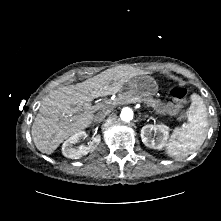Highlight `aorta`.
<instances>
[{
    "label": "aorta",
    "mask_w": 221,
    "mask_h": 221,
    "mask_svg": "<svg viewBox=\"0 0 221 221\" xmlns=\"http://www.w3.org/2000/svg\"><path fill=\"white\" fill-rule=\"evenodd\" d=\"M133 110L129 107H125L122 109L120 117L123 121L129 122L133 119Z\"/></svg>",
    "instance_id": "762f6f07"
}]
</instances>
